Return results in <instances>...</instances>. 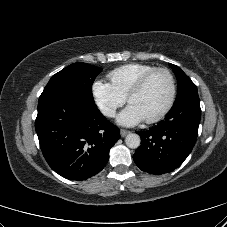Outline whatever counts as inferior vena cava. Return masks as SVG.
<instances>
[{
  "label": "inferior vena cava",
  "mask_w": 227,
  "mask_h": 227,
  "mask_svg": "<svg viewBox=\"0 0 227 227\" xmlns=\"http://www.w3.org/2000/svg\"><path fill=\"white\" fill-rule=\"evenodd\" d=\"M100 110L101 112L106 115V116H109V117H113L114 114H115V110L114 109H111L109 107H106V106H101L100 107Z\"/></svg>",
  "instance_id": "602c4592"
}]
</instances>
